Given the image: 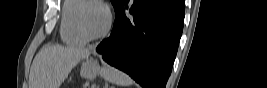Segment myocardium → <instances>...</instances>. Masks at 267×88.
Segmentation results:
<instances>
[{
  "label": "myocardium",
  "mask_w": 267,
  "mask_h": 88,
  "mask_svg": "<svg viewBox=\"0 0 267 88\" xmlns=\"http://www.w3.org/2000/svg\"><path fill=\"white\" fill-rule=\"evenodd\" d=\"M90 4L97 5V6L101 7L106 12V15H107V22H106L105 27L103 28V30L100 33L95 34V35L90 34L86 30L84 23H83V19H82L83 10L85 9V7L87 5H90ZM76 21H77V26H78L80 34L87 41H92V40L101 39L109 33L111 26H112V22H113V16H112V12H111L110 8L102 1L88 0L79 6L78 11H77Z\"/></svg>",
  "instance_id": "f54148a6"
}]
</instances>
